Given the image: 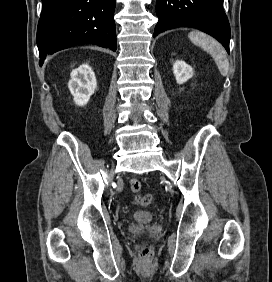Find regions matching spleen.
<instances>
[{"instance_id":"spleen-1","label":"spleen","mask_w":272,"mask_h":282,"mask_svg":"<svg viewBox=\"0 0 272 282\" xmlns=\"http://www.w3.org/2000/svg\"><path fill=\"white\" fill-rule=\"evenodd\" d=\"M188 37L194 45L202 48L213 57L222 76H226L228 74L229 62L226 57V52L220 43L198 31L190 32Z\"/></svg>"}]
</instances>
